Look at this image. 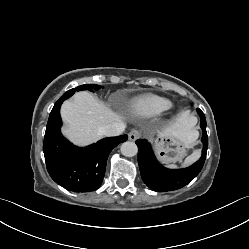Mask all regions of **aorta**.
<instances>
[{
  "mask_svg": "<svg viewBox=\"0 0 249 249\" xmlns=\"http://www.w3.org/2000/svg\"><path fill=\"white\" fill-rule=\"evenodd\" d=\"M120 151L122 155L126 157H132L137 154L138 148L137 145L134 142L126 141L122 143L120 147Z\"/></svg>",
  "mask_w": 249,
  "mask_h": 249,
  "instance_id": "1",
  "label": "aorta"
}]
</instances>
